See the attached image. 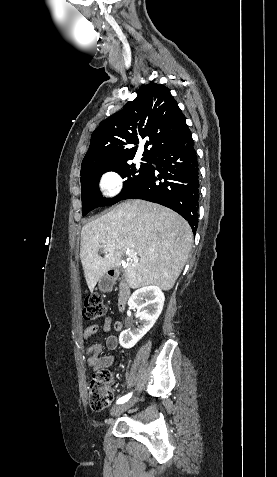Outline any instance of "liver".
Wrapping results in <instances>:
<instances>
[{"label":"liver","instance_id":"6515ba94","mask_svg":"<svg viewBox=\"0 0 277 477\" xmlns=\"http://www.w3.org/2000/svg\"><path fill=\"white\" fill-rule=\"evenodd\" d=\"M192 242L188 222L173 210L139 199L123 202L82 228L80 259L89 290L108 270L120 266L125 250L132 249L137 258L125 269L128 285L133 289L156 285L168 291ZM101 249L104 257L98 254Z\"/></svg>","mask_w":277,"mask_h":477}]
</instances>
